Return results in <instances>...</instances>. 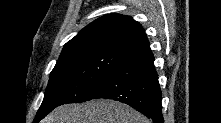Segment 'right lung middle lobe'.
<instances>
[{"label":"right lung middle lobe","instance_id":"1","mask_svg":"<svg viewBox=\"0 0 221 123\" xmlns=\"http://www.w3.org/2000/svg\"><path fill=\"white\" fill-rule=\"evenodd\" d=\"M128 58L107 49H86L59 57L36 119L59 105L89 100L96 84Z\"/></svg>","mask_w":221,"mask_h":123}]
</instances>
